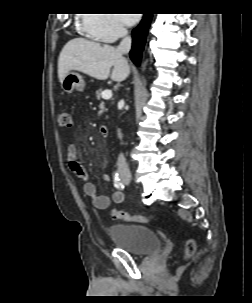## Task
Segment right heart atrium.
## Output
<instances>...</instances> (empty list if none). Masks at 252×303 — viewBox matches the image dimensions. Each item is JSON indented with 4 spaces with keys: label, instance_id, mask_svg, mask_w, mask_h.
Segmentation results:
<instances>
[{
    "label": "right heart atrium",
    "instance_id": "right-heart-atrium-1",
    "mask_svg": "<svg viewBox=\"0 0 252 303\" xmlns=\"http://www.w3.org/2000/svg\"><path fill=\"white\" fill-rule=\"evenodd\" d=\"M82 28L105 43H114L126 34V29L115 14H82Z\"/></svg>",
    "mask_w": 252,
    "mask_h": 303
}]
</instances>
